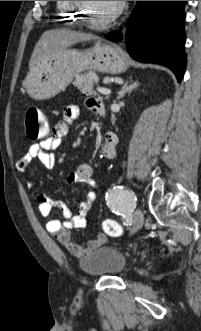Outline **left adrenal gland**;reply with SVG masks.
Returning a JSON list of instances; mask_svg holds the SVG:
<instances>
[{"label":"left adrenal gland","mask_w":201,"mask_h":331,"mask_svg":"<svg viewBox=\"0 0 201 331\" xmlns=\"http://www.w3.org/2000/svg\"><path fill=\"white\" fill-rule=\"evenodd\" d=\"M130 82H131L130 85H128L129 82H126L121 87V90L118 92V96H117V99L118 100H120L121 98H123L126 93H131L135 88H137L139 86V83L138 82H133L132 83V80Z\"/></svg>","instance_id":"obj_1"}]
</instances>
